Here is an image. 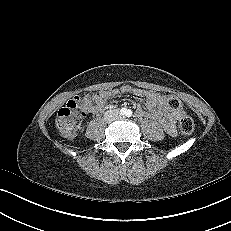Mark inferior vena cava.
Instances as JSON below:
<instances>
[{"label":"inferior vena cava","mask_w":231,"mask_h":231,"mask_svg":"<svg viewBox=\"0 0 231 231\" xmlns=\"http://www.w3.org/2000/svg\"><path fill=\"white\" fill-rule=\"evenodd\" d=\"M114 113L117 115V114H118V111H117V110H114Z\"/></svg>","instance_id":"obj_1"}]
</instances>
